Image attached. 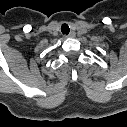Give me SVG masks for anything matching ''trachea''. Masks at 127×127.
Segmentation results:
<instances>
[{
  "label": "trachea",
  "instance_id": "1",
  "mask_svg": "<svg viewBox=\"0 0 127 127\" xmlns=\"http://www.w3.org/2000/svg\"><path fill=\"white\" fill-rule=\"evenodd\" d=\"M61 32H62L63 34L68 35L69 32H70L69 26H68L67 24H63V25L61 26Z\"/></svg>",
  "mask_w": 127,
  "mask_h": 127
}]
</instances>
